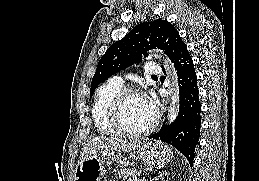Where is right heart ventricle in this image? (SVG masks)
Wrapping results in <instances>:
<instances>
[{
	"mask_svg": "<svg viewBox=\"0 0 259 181\" xmlns=\"http://www.w3.org/2000/svg\"><path fill=\"white\" fill-rule=\"evenodd\" d=\"M122 89L123 86L115 84L111 80L97 89L91 108V117L98 132L107 135L118 132L111 120V106L114 98Z\"/></svg>",
	"mask_w": 259,
	"mask_h": 181,
	"instance_id": "right-heart-ventricle-1",
	"label": "right heart ventricle"
}]
</instances>
